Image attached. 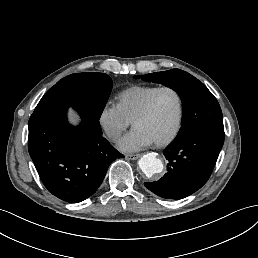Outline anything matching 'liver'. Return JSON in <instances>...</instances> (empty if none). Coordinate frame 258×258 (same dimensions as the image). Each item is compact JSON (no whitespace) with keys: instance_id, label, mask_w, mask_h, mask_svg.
<instances>
[{"instance_id":"6515ba94","label":"liver","mask_w":258,"mask_h":258,"mask_svg":"<svg viewBox=\"0 0 258 258\" xmlns=\"http://www.w3.org/2000/svg\"><path fill=\"white\" fill-rule=\"evenodd\" d=\"M66 121L67 124L72 128H78L82 124V119L79 111L72 105H70L66 110Z\"/></svg>"}]
</instances>
